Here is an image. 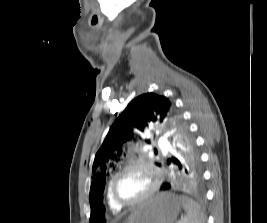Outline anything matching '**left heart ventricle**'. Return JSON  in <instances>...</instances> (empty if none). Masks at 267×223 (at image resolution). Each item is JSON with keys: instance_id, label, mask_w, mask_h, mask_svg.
Wrapping results in <instances>:
<instances>
[{"instance_id": "left-heart-ventricle-1", "label": "left heart ventricle", "mask_w": 267, "mask_h": 223, "mask_svg": "<svg viewBox=\"0 0 267 223\" xmlns=\"http://www.w3.org/2000/svg\"><path fill=\"white\" fill-rule=\"evenodd\" d=\"M153 177L143 168H130L122 173L115 182V194L122 201H134L150 188Z\"/></svg>"}]
</instances>
